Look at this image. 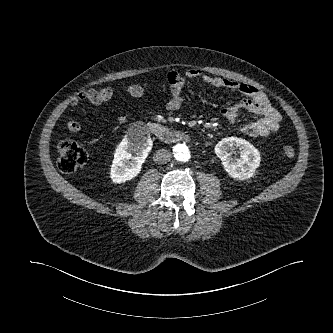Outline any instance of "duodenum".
I'll use <instances>...</instances> for the list:
<instances>
[{
  "label": "duodenum",
  "instance_id": "410a0bca",
  "mask_svg": "<svg viewBox=\"0 0 333 333\" xmlns=\"http://www.w3.org/2000/svg\"><path fill=\"white\" fill-rule=\"evenodd\" d=\"M147 130L151 135L168 144L188 141L190 139V136L187 133L170 129L159 123H149L147 125Z\"/></svg>",
  "mask_w": 333,
  "mask_h": 333
}]
</instances>
